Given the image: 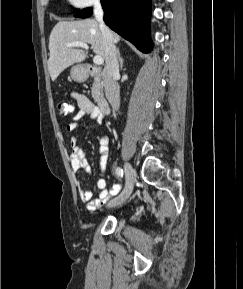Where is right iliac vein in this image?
Here are the masks:
<instances>
[{"mask_svg": "<svg viewBox=\"0 0 243 289\" xmlns=\"http://www.w3.org/2000/svg\"><path fill=\"white\" fill-rule=\"evenodd\" d=\"M126 184L125 188L120 195L111 199L107 207L112 208L123 204L131 195L133 187H134V178H135V170L129 163H125L124 165Z\"/></svg>", "mask_w": 243, "mask_h": 289, "instance_id": "63e3f726", "label": "right iliac vein"}]
</instances>
